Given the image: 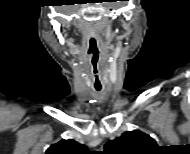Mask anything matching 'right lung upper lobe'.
Segmentation results:
<instances>
[{
    "label": "right lung upper lobe",
    "mask_w": 190,
    "mask_h": 154,
    "mask_svg": "<svg viewBox=\"0 0 190 154\" xmlns=\"http://www.w3.org/2000/svg\"><path fill=\"white\" fill-rule=\"evenodd\" d=\"M86 147L78 142L68 139L61 140L57 144L50 146L45 154H84Z\"/></svg>",
    "instance_id": "1"
}]
</instances>
